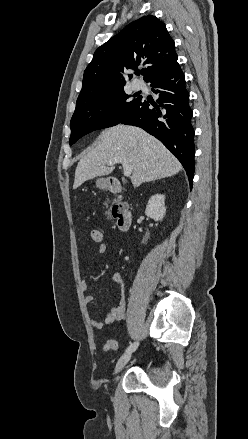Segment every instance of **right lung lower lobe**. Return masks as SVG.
<instances>
[{
    "instance_id": "1",
    "label": "right lung lower lobe",
    "mask_w": 248,
    "mask_h": 439,
    "mask_svg": "<svg viewBox=\"0 0 248 439\" xmlns=\"http://www.w3.org/2000/svg\"><path fill=\"white\" fill-rule=\"evenodd\" d=\"M147 82L151 83L152 90L158 95L157 104L139 97V101L120 123L141 127L159 139L181 162L192 187L194 128L184 74L176 65Z\"/></svg>"
}]
</instances>
